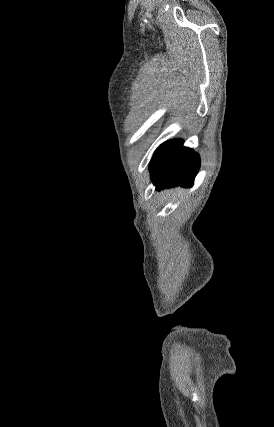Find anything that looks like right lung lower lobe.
I'll list each match as a JSON object with an SVG mask.
<instances>
[{"mask_svg": "<svg viewBox=\"0 0 274 427\" xmlns=\"http://www.w3.org/2000/svg\"><path fill=\"white\" fill-rule=\"evenodd\" d=\"M176 139L162 144L154 153L149 168L156 190L181 185L190 187L199 170V156Z\"/></svg>", "mask_w": 274, "mask_h": 427, "instance_id": "1", "label": "right lung lower lobe"}]
</instances>
